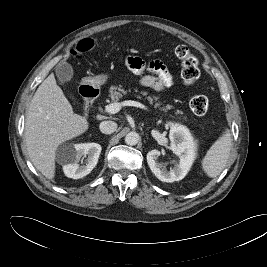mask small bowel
Listing matches in <instances>:
<instances>
[{
  "mask_svg": "<svg viewBox=\"0 0 267 267\" xmlns=\"http://www.w3.org/2000/svg\"><path fill=\"white\" fill-rule=\"evenodd\" d=\"M125 64L135 74H142L145 71L152 73L141 78L140 85L144 87L164 91L174 84L173 76L159 60L145 62L137 56H128L125 58Z\"/></svg>",
  "mask_w": 267,
  "mask_h": 267,
  "instance_id": "small-bowel-1",
  "label": "small bowel"
}]
</instances>
